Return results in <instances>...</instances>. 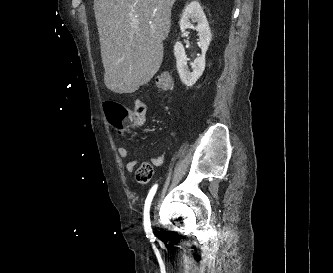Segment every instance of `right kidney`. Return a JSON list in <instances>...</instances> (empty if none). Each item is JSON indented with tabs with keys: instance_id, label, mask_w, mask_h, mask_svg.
Returning a JSON list of instances; mask_svg holds the SVG:
<instances>
[{
	"instance_id": "1",
	"label": "right kidney",
	"mask_w": 333,
	"mask_h": 273,
	"mask_svg": "<svg viewBox=\"0 0 333 273\" xmlns=\"http://www.w3.org/2000/svg\"><path fill=\"white\" fill-rule=\"evenodd\" d=\"M197 23L194 26L192 23ZM180 29L196 30L199 34L202 55L191 64L192 72L188 69V58L181 42H176L174 46V55L176 57V66L181 81L187 86L192 87L200 78L205 69V54L212 39V34L206 16L197 1L189 3L180 19Z\"/></svg>"
}]
</instances>
